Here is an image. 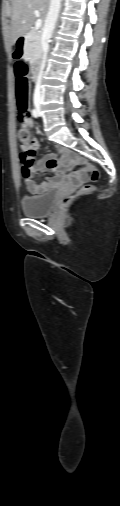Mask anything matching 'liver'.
Segmentation results:
<instances>
[{"mask_svg":"<svg viewBox=\"0 0 120 506\" xmlns=\"http://www.w3.org/2000/svg\"><path fill=\"white\" fill-rule=\"evenodd\" d=\"M50 0H13L12 25H11V45H14L17 39L25 35L34 25L37 16L35 10L40 12V17L44 20L49 10Z\"/></svg>","mask_w":120,"mask_h":506,"instance_id":"1","label":"liver"}]
</instances>
